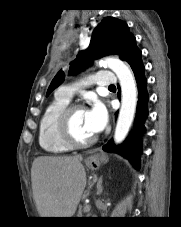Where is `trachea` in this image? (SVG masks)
Segmentation results:
<instances>
[{
    "label": "trachea",
    "instance_id": "trachea-1",
    "mask_svg": "<svg viewBox=\"0 0 181 227\" xmlns=\"http://www.w3.org/2000/svg\"><path fill=\"white\" fill-rule=\"evenodd\" d=\"M109 88H115V86L114 85H110Z\"/></svg>",
    "mask_w": 181,
    "mask_h": 227
}]
</instances>
